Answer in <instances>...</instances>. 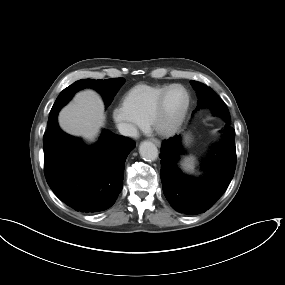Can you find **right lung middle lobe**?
<instances>
[{
  "mask_svg": "<svg viewBox=\"0 0 285 285\" xmlns=\"http://www.w3.org/2000/svg\"><path fill=\"white\" fill-rule=\"evenodd\" d=\"M124 81L125 80L123 78H112L106 80L81 79L74 82L72 85L65 88L58 96L51 109L48 125H50L57 118L59 110L72 98L74 93H76L78 90L86 87L97 90L103 96L106 107H108L119 88L123 85Z\"/></svg>",
  "mask_w": 285,
  "mask_h": 285,
  "instance_id": "1",
  "label": "right lung middle lobe"
}]
</instances>
